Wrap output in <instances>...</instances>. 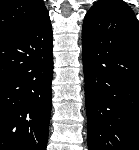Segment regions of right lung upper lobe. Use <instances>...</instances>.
Listing matches in <instances>:
<instances>
[{
  "label": "right lung upper lobe",
  "instance_id": "right-lung-upper-lobe-1",
  "mask_svg": "<svg viewBox=\"0 0 139 150\" xmlns=\"http://www.w3.org/2000/svg\"><path fill=\"white\" fill-rule=\"evenodd\" d=\"M46 12L43 0H0V38L32 25Z\"/></svg>",
  "mask_w": 139,
  "mask_h": 150
}]
</instances>
